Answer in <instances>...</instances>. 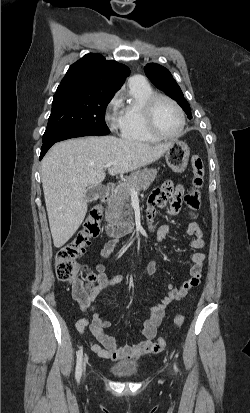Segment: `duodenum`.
Segmentation results:
<instances>
[{"mask_svg": "<svg viewBox=\"0 0 250 413\" xmlns=\"http://www.w3.org/2000/svg\"><path fill=\"white\" fill-rule=\"evenodd\" d=\"M114 194V185L109 184L103 194V200L111 198ZM105 232L109 237H121L123 235L132 233L135 230L133 222H112L107 221L105 227Z\"/></svg>", "mask_w": 250, "mask_h": 413, "instance_id": "obj_1", "label": "duodenum"}]
</instances>
